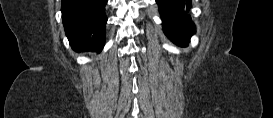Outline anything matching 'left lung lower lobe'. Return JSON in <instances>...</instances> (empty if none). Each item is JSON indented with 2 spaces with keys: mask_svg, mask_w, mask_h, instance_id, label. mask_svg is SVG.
I'll list each match as a JSON object with an SVG mask.
<instances>
[{
  "mask_svg": "<svg viewBox=\"0 0 273 118\" xmlns=\"http://www.w3.org/2000/svg\"><path fill=\"white\" fill-rule=\"evenodd\" d=\"M167 37L177 45L186 46L195 33V25L188 11L190 0H156Z\"/></svg>",
  "mask_w": 273,
  "mask_h": 118,
  "instance_id": "obj_1",
  "label": "left lung lower lobe"
}]
</instances>
